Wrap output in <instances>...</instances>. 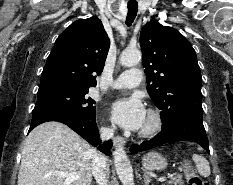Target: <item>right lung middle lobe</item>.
I'll list each match as a JSON object with an SVG mask.
<instances>
[{"label":"right lung middle lobe","mask_w":233,"mask_h":185,"mask_svg":"<svg viewBox=\"0 0 233 185\" xmlns=\"http://www.w3.org/2000/svg\"><path fill=\"white\" fill-rule=\"evenodd\" d=\"M88 89L54 87L38 90L37 103L33 110H54L95 117V101L86 94Z\"/></svg>","instance_id":"1"}]
</instances>
